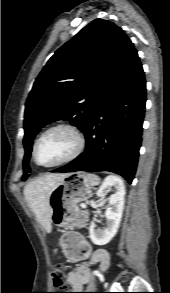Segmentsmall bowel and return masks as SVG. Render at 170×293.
Returning <instances> with one entry per match:
<instances>
[{"label":"small bowel","mask_w":170,"mask_h":293,"mask_svg":"<svg viewBox=\"0 0 170 293\" xmlns=\"http://www.w3.org/2000/svg\"><path fill=\"white\" fill-rule=\"evenodd\" d=\"M63 251L70 261L90 260L92 265L99 266L100 270L109 267L110 259L108 253L103 249L91 251L87 240L76 231H68L62 237ZM91 271L88 265L79 264L67 277V284L73 293H80L85 285L90 282Z\"/></svg>","instance_id":"1"}]
</instances>
